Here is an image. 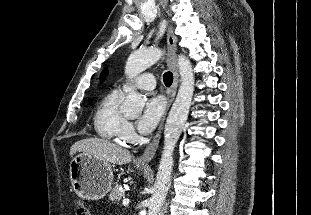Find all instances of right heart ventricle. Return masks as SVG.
Returning a JSON list of instances; mask_svg holds the SVG:
<instances>
[{"instance_id":"obj_1","label":"right heart ventricle","mask_w":311,"mask_h":215,"mask_svg":"<svg viewBox=\"0 0 311 215\" xmlns=\"http://www.w3.org/2000/svg\"><path fill=\"white\" fill-rule=\"evenodd\" d=\"M122 99L120 90H113L108 93L99 103L94 114V127L97 134L106 140L115 143H122L123 128L127 122L119 110Z\"/></svg>"}]
</instances>
